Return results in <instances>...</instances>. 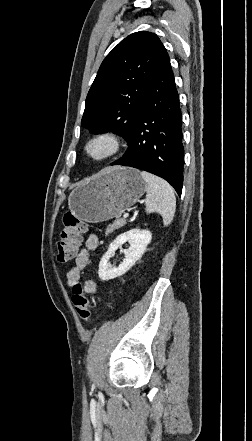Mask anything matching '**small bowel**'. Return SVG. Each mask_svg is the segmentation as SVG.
<instances>
[{
  "label": "small bowel",
  "instance_id": "small-bowel-1",
  "mask_svg": "<svg viewBox=\"0 0 252 441\" xmlns=\"http://www.w3.org/2000/svg\"><path fill=\"white\" fill-rule=\"evenodd\" d=\"M98 244L99 238L96 234H90L86 238L84 247L78 252L74 265L67 273V282L69 285L79 282L83 270L89 264L91 253L97 248ZM84 290L86 293L96 294V283L92 280L84 281Z\"/></svg>",
  "mask_w": 252,
  "mask_h": 441
}]
</instances>
